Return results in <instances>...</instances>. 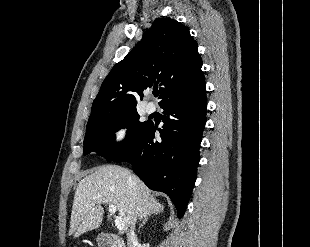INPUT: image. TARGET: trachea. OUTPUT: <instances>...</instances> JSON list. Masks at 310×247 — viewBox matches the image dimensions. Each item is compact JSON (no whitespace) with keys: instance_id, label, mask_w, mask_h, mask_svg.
Wrapping results in <instances>:
<instances>
[{"instance_id":"obj_1","label":"trachea","mask_w":310,"mask_h":247,"mask_svg":"<svg viewBox=\"0 0 310 247\" xmlns=\"http://www.w3.org/2000/svg\"><path fill=\"white\" fill-rule=\"evenodd\" d=\"M158 92H153V95L155 96V97H157L158 96Z\"/></svg>"}]
</instances>
